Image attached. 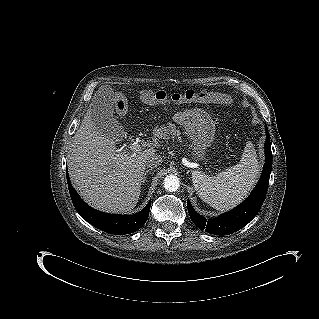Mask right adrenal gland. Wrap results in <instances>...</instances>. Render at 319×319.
<instances>
[{
  "label": "right adrenal gland",
  "instance_id": "right-adrenal-gland-1",
  "mask_svg": "<svg viewBox=\"0 0 319 319\" xmlns=\"http://www.w3.org/2000/svg\"><path fill=\"white\" fill-rule=\"evenodd\" d=\"M151 172V169L147 170L144 174V178H143V184L146 182V179H147V175L148 173Z\"/></svg>",
  "mask_w": 319,
  "mask_h": 319
}]
</instances>
